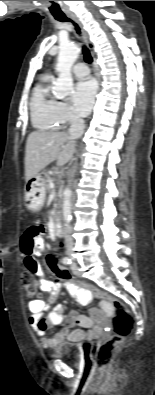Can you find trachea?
I'll return each mask as SVG.
<instances>
[{
  "mask_svg": "<svg viewBox=\"0 0 155 395\" xmlns=\"http://www.w3.org/2000/svg\"><path fill=\"white\" fill-rule=\"evenodd\" d=\"M55 19L60 21V22H68L71 21L69 18H67L64 14L61 15H54ZM75 26V29L77 31L78 34H80V28L77 26V24L73 23ZM83 54H84V59L87 63H91L92 62V57L91 54L88 50V48L86 46H83Z\"/></svg>",
  "mask_w": 155,
  "mask_h": 395,
  "instance_id": "trachea-1",
  "label": "trachea"
}]
</instances>
